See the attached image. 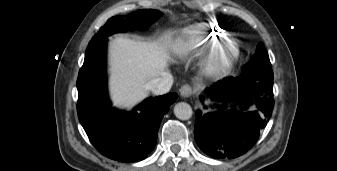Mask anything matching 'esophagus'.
<instances>
[{"label":"esophagus","instance_id":"obj_1","mask_svg":"<svg viewBox=\"0 0 337 171\" xmlns=\"http://www.w3.org/2000/svg\"><path fill=\"white\" fill-rule=\"evenodd\" d=\"M192 93H193L192 87L188 84H185L180 88V94L184 98L190 97Z\"/></svg>","mask_w":337,"mask_h":171}]
</instances>
